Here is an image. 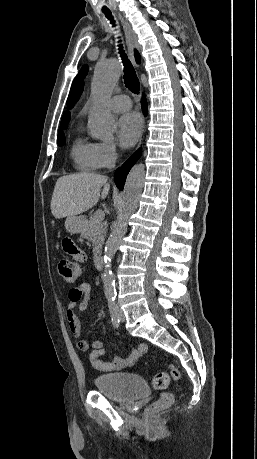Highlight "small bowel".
I'll list each match as a JSON object with an SVG mask.
<instances>
[{
    "instance_id": "1",
    "label": "small bowel",
    "mask_w": 257,
    "mask_h": 459,
    "mask_svg": "<svg viewBox=\"0 0 257 459\" xmlns=\"http://www.w3.org/2000/svg\"><path fill=\"white\" fill-rule=\"evenodd\" d=\"M60 248L64 249V255L69 258V264H88V255L83 246H78L77 239H60ZM91 300V287L88 283H80L68 291V305L66 316L69 327L73 335L79 338L83 333V325L79 319L75 308L84 312L89 307ZM78 347L81 351L92 349L89 362L97 370L102 372H112L133 365L147 350L145 344H141L136 349H132L128 356L117 357L107 361L103 358L106 351L103 349V343L100 339H80Z\"/></svg>"
}]
</instances>
